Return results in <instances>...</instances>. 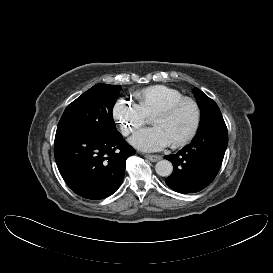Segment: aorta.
Segmentation results:
<instances>
[{
  "instance_id": "aorta-1",
  "label": "aorta",
  "mask_w": 273,
  "mask_h": 273,
  "mask_svg": "<svg viewBox=\"0 0 273 273\" xmlns=\"http://www.w3.org/2000/svg\"><path fill=\"white\" fill-rule=\"evenodd\" d=\"M155 171L159 176L168 177L173 171V165L168 160H161L155 165Z\"/></svg>"
}]
</instances>
